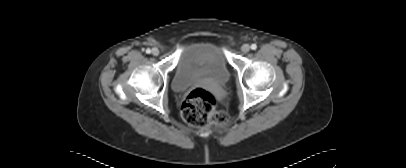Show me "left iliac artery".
Returning a JSON list of instances; mask_svg holds the SVG:
<instances>
[{
  "instance_id": "obj_1",
  "label": "left iliac artery",
  "mask_w": 406,
  "mask_h": 168,
  "mask_svg": "<svg viewBox=\"0 0 406 168\" xmlns=\"http://www.w3.org/2000/svg\"><path fill=\"white\" fill-rule=\"evenodd\" d=\"M251 49H252V50H256V49H257V45H256V44H252V45H251Z\"/></svg>"
}]
</instances>
